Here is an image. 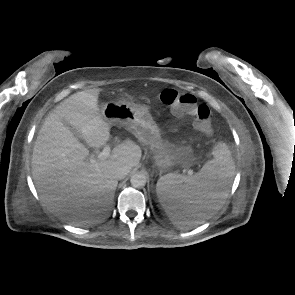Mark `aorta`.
<instances>
[{
    "label": "aorta",
    "instance_id": "aorta-1",
    "mask_svg": "<svg viewBox=\"0 0 295 295\" xmlns=\"http://www.w3.org/2000/svg\"><path fill=\"white\" fill-rule=\"evenodd\" d=\"M131 185L135 188H142L146 185L147 176L141 172H137L131 176Z\"/></svg>",
    "mask_w": 295,
    "mask_h": 295
}]
</instances>
